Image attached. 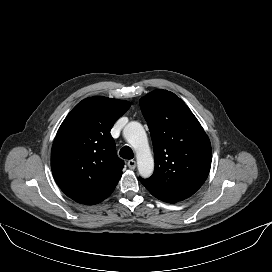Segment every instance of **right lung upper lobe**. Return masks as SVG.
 <instances>
[{
	"label": "right lung upper lobe",
	"instance_id": "obj_1",
	"mask_svg": "<svg viewBox=\"0 0 272 272\" xmlns=\"http://www.w3.org/2000/svg\"><path fill=\"white\" fill-rule=\"evenodd\" d=\"M128 103L89 97L78 103L61 124L51 151V169L61 190L78 203L89 204L122 175L110 130L128 110Z\"/></svg>",
	"mask_w": 272,
	"mask_h": 272
}]
</instances>
